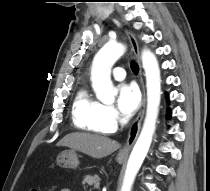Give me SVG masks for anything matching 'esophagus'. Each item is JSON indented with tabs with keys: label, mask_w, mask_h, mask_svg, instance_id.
Instances as JSON below:
<instances>
[{
	"label": "esophagus",
	"mask_w": 210,
	"mask_h": 191,
	"mask_svg": "<svg viewBox=\"0 0 210 191\" xmlns=\"http://www.w3.org/2000/svg\"><path fill=\"white\" fill-rule=\"evenodd\" d=\"M126 35L129 39L132 50L137 58L139 66H140V84H141V90H142V102H141L140 112L130 127L127 142H126L125 146L120 150L119 156L128 155L132 146L134 145V143L137 139V136L139 134V131H140L141 122H142L144 112H145V103H146V94H145V87H144V83H143V79H142L141 61H140V52H139L138 42L132 33L126 31Z\"/></svg>",
	"instance_id": "1"
}]
</instances>
